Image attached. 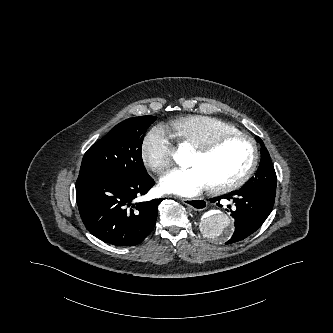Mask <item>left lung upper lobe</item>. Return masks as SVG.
<instances>
[{"mask_svg": "<svg viewBox=\"0 0 333 333\" xmlns=\"http://www.w3.org/2000/svg\"><path fill=\"white\" fill-rule=\"evenodd\" d=\"M256 140L261 144V161L255 177L246 182L242 189L265 190L276 193L277 177L272 165L270 155L259 137Z\"/></svg>", "mask_w": 333, "mask_h": 333, "instance_id": "obj_1", "label": "left lung upper lobe"}]
</instances>
